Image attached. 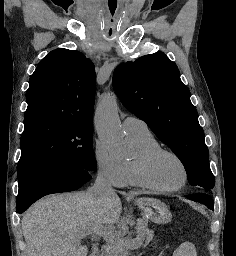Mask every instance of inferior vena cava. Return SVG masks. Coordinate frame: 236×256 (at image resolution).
<instances>
[{
    "label": "inferior vena cava",
    "instance_id": "obj_1",
    "mask_svg": "<svg viewBox=\"0 0 236 256\" xmlns=\"http://www.w3.org/2000/svg\"><path fill=\"white\" fill-rule=\"evenodd\" d=\"M89 192H91L95 198H99V200L114 194L108 172H105V170H98L97 178L92 188H89Z\"/></svg>",
    "mask_w": 236,
    "mask_h": 256
}]
</instances>
